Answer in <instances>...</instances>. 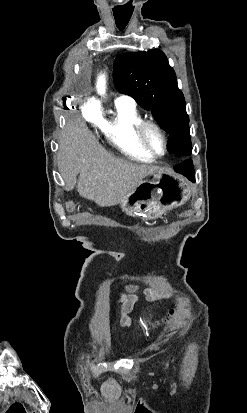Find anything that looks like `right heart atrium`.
Here are the masks:
<instances>
[{"instance_id": "d8ad5b80", "label": "right heart atrium", "mask_w": 247, "mask_h": 413, "mask_svg": "<svg viewBox=\"0 0 247 413\" xmlns=\"http://www.w3.org/2000/svg\"><path fill=\"white\" fill-rule=\"evenodd\" d=\"M103 107L102 100H86L84 102V111L82 116L84 119H89L91 124H94L96 128L103 126L104 112L101 110Z\"/></svg>"}]
</instances>
